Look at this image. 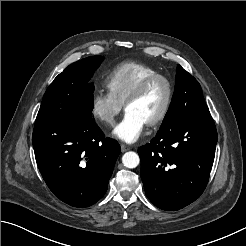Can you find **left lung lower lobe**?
<instances>
[{
    "label": "left lung lower lobe",
    "instance_id": "left-lung-lower-lobe-1",
    "mask_svg": "<svg viewBox=\"0 0 246 246\" xmlns=\"http://www.w3.org/2000/svg\"><path fill=\"white\" fill-rule=\"evenodd\" d=\"M217 131L209 111L175 120L138 149L145 193L158 208L174 211L203 193L214 161Z\"/></svg>",
    "mask_w": 246,
    "mask_h": 246
}]
</instances>
